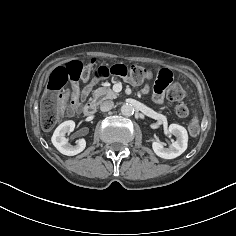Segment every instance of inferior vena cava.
Returning <instances> with one entry per match:
<instances>
[{"instance_id":"inferior-vena-cava-1","label":"inferior vena cava","mask_w":236,"mask_h":236,"mask_svg":"<svg viewBox=\"0 0 236 236\" xmlns=\"http://www.w3.org/2000/svg\"><path fill=\"white\" fill-rule=\"evenodd\" d=\"M113 107H114V102L111 100H107V101H104L103 103H101L100 110L103 112H107V111L111 110Z\"/></svg>"}]
</instances>
